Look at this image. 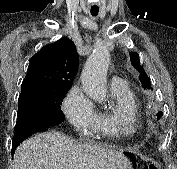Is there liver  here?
<instances>
[{
  "label": "liver",
  "mask_w": 177,
  "mask_h": 169,
  "mask_svg": "<svg viewBox=\"0 0 177 169\" xmlns=\"http://www.w3.org/2000/svg\"><path fill=\"white\" fill-rule=\"evenodd\" d=\"M14 169H128L123 152L82 145L62 133L43 132L24 141L14 153Z\"/></svg>",
  "instance_id": "liver-1"
}]
</instances>
